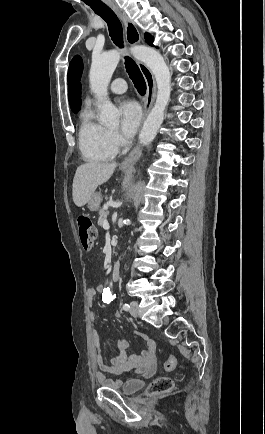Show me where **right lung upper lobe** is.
<instances>
[{"label": "right lung upper lobe", "mask_w": 265, "mask_h": 434, "mask_svg": "<svg viewBox=\"0 0 265 434\" xmlns=\"http://www.w3.org/2000/svg\"><path fill=\"white\" fill-rule=\"evenodd\" d=\"M83 61L80 56H75L69 66L68 72V98L70 107L81 106V75Z\"/></svg>", "instance_id": "right-lung-upper-lobe-1"}]
</instances>
